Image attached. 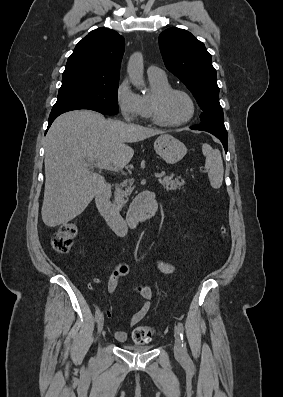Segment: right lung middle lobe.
I'll return each mask as SVG.
<instances>
[{"instance_id": "dd1d6c3e", "label": "right lung middle lobe", "mask_w": 283, "mask_h": 397, "mask_svg": "<svg viewBox=\"0 0 283 397\" xmlns=\"http://www.w3.org/2000/svg\"><path fill=\"white\" fill-rule=\"evenodd\" d=\"M119 78L65 73L55 106H88L108 115L118 113Z\"/></svg>"}]
</instances>
